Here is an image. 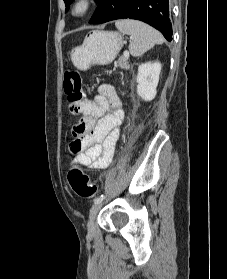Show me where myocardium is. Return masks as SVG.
<instances>
[{
  "label": "myocardium",
  "mask_w": 227,
  "mask_h": 279,
  "mask_svg": "<svg viewBox=\"0 0 227 279\" xmlns=\"http://www.w3.org/2000/svg\"><path fill=\"white\" fill-rule=\"evenodd\" d=\"M93 7V0H74L71 8V14L74 17H85Z\"/></svg>",
  "instance_id": "obj_1"
}]
</instances>
